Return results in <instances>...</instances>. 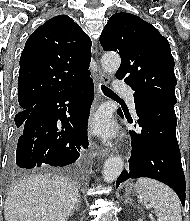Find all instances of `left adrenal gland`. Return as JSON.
<instances>
[{
	"label": "left adrenal gland",
	"instance_id": "1",
	"mask_svg": "<svg viewBox=\"0 0 190 221\" xmlns=\"http://www.w3.org/2000/svg\"><path fill=\"white\" fill-rule=\"evenodd\" d=\"M124 198H125L124 199V203L125 204H127V203L132 204V201H131V199H130V197H129V195L127 193L125 194Z\"/></svg>",
	"mask_w": 190,
	"mask_h": 221
}]
</instances>
